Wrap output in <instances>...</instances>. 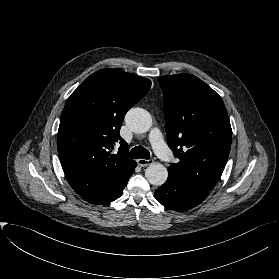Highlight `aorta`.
Here are the masks:
<instances>
[{
	"instance_id": "1",
	"label": "aorta",
	"mask_w": 279,
	"mask_h": 279,
	"mask_svg": "<svg viewBox=\"0 0 279 279\" xmlns=\"http://www.w3.org/2000/svg\"><path fill=\"white\" fill-rule=\"evenodd\" d=\"M125 122L135 133H146L152 126L151 115L142 108L130 109L125 116ZM145 177L150 184L160 186L166 182L168 171L164 165L153 163L147 167Z\"/></svg>"
}]
</instances>
